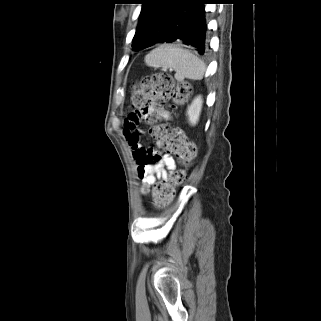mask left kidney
<instances>
[{
    "mask_svg": "<svg viewBox=\"0 0 321 321\" xmlns=\"http://www.w3.org/2000/svg\"><path fill=\"white\" fill-rule=\"evenodd\" d=\"M202 104H203L202 97L197 96L193 99L192 103L188 106L187 116H188L189 123L193 126L196 125L199 120L200 113L202 110Z\"/></svg>",
    "mask_w": 321,
    "mask_h": 321,
    "instance_id": "left-kidney-1",
    "label": "left kidney"
}]
</instances>
